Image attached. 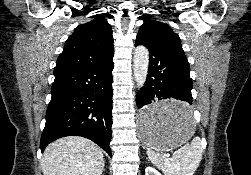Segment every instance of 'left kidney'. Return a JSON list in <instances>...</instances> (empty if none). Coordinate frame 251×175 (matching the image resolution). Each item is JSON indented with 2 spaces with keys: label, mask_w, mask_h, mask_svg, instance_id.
Returning a JSON list of instances; mask_svg holds the SVG:
<instances>
[{
  "label": "left kidney",
  "mask_w": 251,
  "mask_h": 175,
  "mask_svg": "<svg viewBox=\"0 0 251 175\" xmlns=\"http://www.w3.org/2000/svg\"><path fill=\"white\" fill-rule=\"evenodd\" d=\"M145 175H162V173H160V171H157L155 167H146Z\"/></svg>",
  "instance_id": "1"
}]
</instances>
